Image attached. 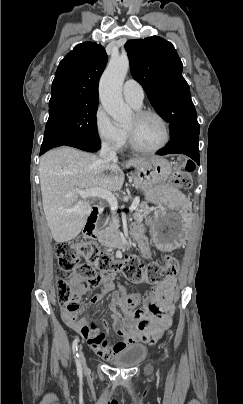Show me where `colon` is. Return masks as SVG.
<instances>
[{
  "label": "colon",
  "instance_id": "obj_1",
  "mask_svg": "<svg viewBox=\"0 0 243 404\" xmlns=\"http://www.w3.org/2000/svg\"><path fill=\"white\" fill-rule=\"evenodd\" d=\"M193 171L191 161L179 159L172 175L174 185L181 189L190 188ZM55 252L62 273L57 285L58 302L74 316L79 311L80 300L96 284L100 274L117 271L133 283L158 284L178 272V262L174 257L168 256L164 265L154 261L143 263L136 256L116 260L92 241L59 242L55 245ZM138 303V295L130 293L123 297L122 308L136 311Z\"/></svg>",
  "mask_w": 243,
  "mask_h": 404
}]
</instances>
